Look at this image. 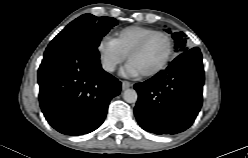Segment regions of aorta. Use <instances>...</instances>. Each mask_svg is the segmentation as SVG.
<instances>
[{
  "instance_id": "1",
  "label": "aorta",
  "mask_w": 248,
  "mask_h": 158,
  "mask_svg": "<svg viewBox=\"0 0 248 158\" xmlns=\"http://www.w3.org/2000/svg\"><path fill=\"white\" fill-rule=\"evenodd\" d=\"M138 94L134 89H126L123 93V99L127 103H135L137 101Z\"/></svg>"
}]
</instances>
